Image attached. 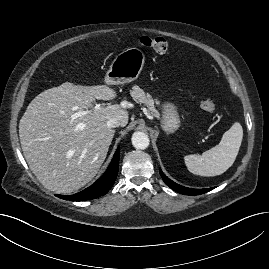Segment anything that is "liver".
I'll list each match as a JSON object with an SVG mask.
<instances>
[{
    "label": "liver",
    "instance_id": "liver-1",
    "mask_svg": "<svg viewBox=\"0 0 269 269\" xmlns=\"http://www.w3.org/2000/svg\"><path fill=\"white\" fill-rule=\"evenodd\" d=\"M107 85L65 82L37 95L19 123L24 157L37 179L56 193H71L90 182L103 164L115 131L107 121L128 123V111L113 104L95 109L93 101L112 100ZM78 112H85L74 117Z\"/></svg>",
    "mask_w": 269,
    "mask_h": 269
}]
</instances>
